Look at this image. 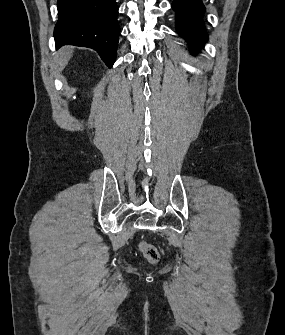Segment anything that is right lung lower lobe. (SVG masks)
I'll use <instances>...</instances> for the list:
<instances>
[{
  "mask_svg": "<svg viewBox=\"0 0 285 335\" xmlns=\"http://www.w3.org/2000/svg\"><path fill=\"white\" fill-rule=\"evenodd\" d=\"M115 1L57 0L56 48L64 45L92 48L112 67L120 34Z\"/></svg>",
  "mask_w": 285,
  "mask_h": 335,
  "instance_id": "obj_1",
  "label": "right lung lower lobe"
}]
</instances>
